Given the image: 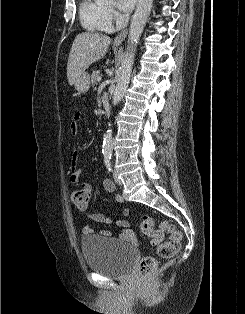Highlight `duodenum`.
Segmentation results:
<instances>
[{
  "label": "duodenum",
  "instance_id": "1",
  "mask_svg": "<svg viewBox=\"0 0 245 314\" xmlns=\"http://www.w3.org/2000/svg\"><path fill=\"white\" fill-rule=\"evenodd\" d=\"M101 103H102V106H103V110H104L105 116L109 117L110 113H111V105H110V101H109L108 95H103L101 97Z\"/></svg>",
  "mask_w": 245,
  "mask_h": 314
}]
</instances>
